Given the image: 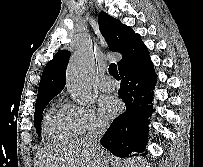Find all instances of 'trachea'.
Wrapping results in <instances>:
<instances>
[{"mask_svg":"<svg viewBox=\"0 0 203 167\" xmlns=\"http://www.w3.org/2000/svg\"><path fill=\"white\" fill-rule=\"evenodd\" d=\"M109 73L112 75L116 80L120 79V76L118 74L117 66L116 64L112 63L109 66Z\"/></svg>","mask_w":203,"mask_h":167,"instance_id":"trachea-1","label":"trachea"}]
</instances>
